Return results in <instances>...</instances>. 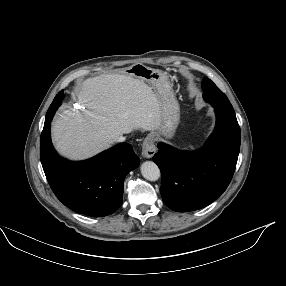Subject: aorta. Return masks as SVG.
Segmentation results:
<instances>
[{"label":"aorta","mask_w":286,"mask_h":286,"mask_svg":"<svg viewBox=\"0 0 286 286\" xmlns=\"http://www.w3.org/2000/svg\"><path fill=\"white\" fill-rule=\"evenodd\" d=\"M141 174L149 181H156L160 178V169L154 162L146 161L141 165Z\"/></svg>","instance_id":"762f6f07"}]
</instances>
